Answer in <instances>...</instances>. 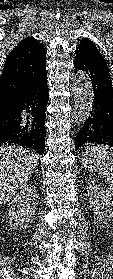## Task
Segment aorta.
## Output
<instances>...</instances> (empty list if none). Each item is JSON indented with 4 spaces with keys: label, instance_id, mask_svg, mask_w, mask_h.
<instances>
[{
    "label": "aorta",
    "instance_id": "1",
    "mask_svg": "<svg viewBox=\"0 0 113 279\" xmlns=\"http://www.w3.org/2000/svg\"><path fill=\"white\" fill-rule=\"evenodd\" d=\"M73 119L78 126L85 123L90 116L93 102L94 91L92 82L87 73L78 71L73 80Z\"/></svg>",
    "mask_w": 113,
    "mask_h": 279
}]
</instances>
